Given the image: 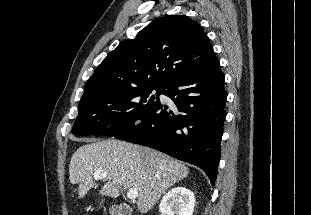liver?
Instances as JSON below:
<instances>
[{
  "label": "liver",
  "mask_w": 311,
  "mask_h": 215,
  "mask_svg": "<svg viewBox=\"0 0 311 215\" xmlns=\"http://www.w3.org/2000/svg\"><path fill=\"white\" fill-rule=\"evenodd\" d=\"M88 142L74 152L69 165L70 182L78 184V198L98 187L93 175L103 170L107 177L99 194L117 198L122 189H136L137 208L144 214L189 174L181 162L147 147L117 139Z\"/></svg>",
  "instance_id": "6515ba94"
}]
</instances>
